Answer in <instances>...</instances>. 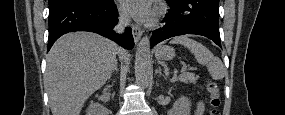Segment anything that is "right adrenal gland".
Instances as JSON below:
<instances>
[{
  "label": "right adrenal gland",
  "instance_id": "obj_1",
  "mask_svg": "<svg viewBox=\"0 0 285 115\" xmlns=\"http://www.w3.org/2000/svg\"><path fill=\"white\" fill-rule=\"evenodd\" d=\"M115 71L118 72V69H117V61L115 62L114 68H113V70H112V72H111V74H110V76H109V78H108L109 80H110L112 74H113Z\"/></svg>",
  "mask_w": 285,
  "mask_h": 115
}]
</instances>
